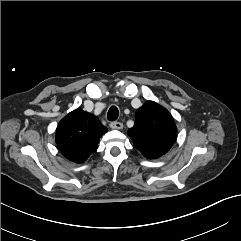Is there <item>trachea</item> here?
I'll use <instances>...</instances> for the list:
<instances>
[{"label": "trachea", "instance_id": "1", "mask_svg": "<svg viewBox=\"0 0 241 241\" xmlns=\"http://www.w3.org/2000/svg\"><path fill=\"white\" fill-rule=\"evenodd\" d=\"M119 110L116 106H111L108 113L107 118L109 121H115L118 118Z\"/></svg>", "mask_w": 241, "mask_h": 241}]
</instances>
